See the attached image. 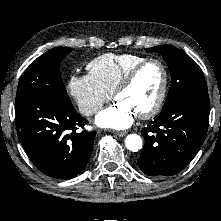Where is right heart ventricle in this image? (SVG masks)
Segmentation results:
<instances>
[{
    "mask_svg": "<svg viewBox=\"0 0 221 221\" xmlns=\"http://www.w3.org/2000/svg\"><path fill=\"white\" fill-rule=\"evenodd\" d=\"M147 58L137 54H103L88 63L89 74L108 92L113 93L127 72Z\"/></svg>",
    "mask_w": 221,
    "mask_h": 221,
    "instance_id": "1",
    "label": "right heart ventricle"
}]
</instances>
